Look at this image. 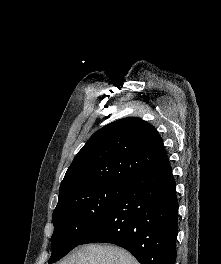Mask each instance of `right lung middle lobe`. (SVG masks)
I'll return each mask as SVG.
<instances>
[{"mask_svg":"<svg viewBox=\"0 0 221 264\" xmlns=\"http://www.w3.org/2000/svg\"><path fill=\"white\" fill-rule=\"evenodd\" d=\"M126 183H102L59 202L53 212V252L48 263L65 256L100 224L125 189Z\"/></svg>","mask_w":221,"mask_h":264,"instance_id":"right-lung-middle-lobe-1","label":"right lung middle lobe"}]
</instances>
